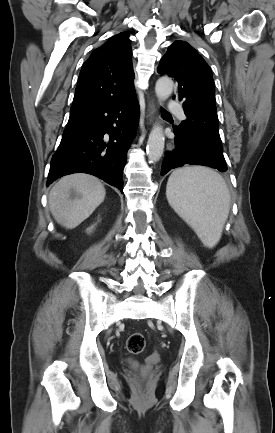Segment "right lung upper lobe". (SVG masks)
Instances as JSON below:
<instances>
[{"label":"right lung upper lobe","mask_w":275,"mask_h":433,"mask_svg":"<svg viewBox=\"0 0 275 433\" xmlns=\"http://www.w3.org/2000/svg\"><path fill=\"white\" fill-rule=\"evenodd\" d=\"M128 36L127 32L119 33L93 51L80 71L70 113L135 94Z\"/></svg>","instance_id":"right-lung-upper-lobe-1"}]
</instances>
